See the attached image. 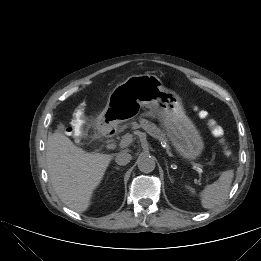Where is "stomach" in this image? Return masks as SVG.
<instances>
[{
	"mask_svg": "<svg viewBox=\"0 0 261 261\" xmlns=\"http://www.w3.org/2000/svg\"><path fill=\"white\" fill-rule=\"evenodd\" d=\"M142 107L156 111L166 135L176 152L185 160L198 159L205 149L204 140L186 115L179 95L164 87L152 74L132 75L117 85L109 95L98 124L111 128L135 119Z\"/></svg>",
	"mask_w": 261,
	"mask_h": 261,
	"instance_id": "0dacf381",
	"label": "stomach"
}]
</instances>
